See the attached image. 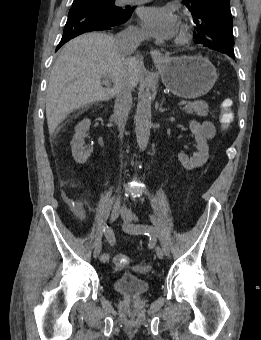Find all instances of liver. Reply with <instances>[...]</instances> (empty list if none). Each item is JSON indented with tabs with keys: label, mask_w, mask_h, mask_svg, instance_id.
Returning a JSON list of instances; mask_svg holds the SVG:
<instances>
[{
	"label": "liver",
	"mask_w": 261,
	"mask_h": 340,
	"mask_svg": "<svg viewBox=\"0 0 261 340\" xmlns=\"http://www.w3.org/2000/svg\"><path fill=\"white\" fill-rule=\"evenodd\" d=\"M140 72L139 60L119 53L110 35L86 33L68 42L53 66L47 87L49 133L70 113L114 97L123 80L135 88ZM102 76L110 78L112 88L102 86Z\"/></svg>",
	"instance_id": "6515ba94"
}]
</instances>
